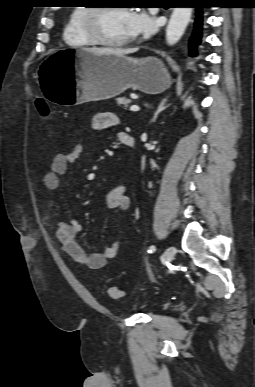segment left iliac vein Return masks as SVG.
Masks as SVG:
<instances>
[{"instance_id":"obj_1","label":"left iliac vein","mask_w":255,"mask_h":387,"mask_svg":"<svg viewBox=\"0 0 255 387\" xmlns=\"http://www.w3.org/2000/svg\"><path fill=\"white\" fill-rule=\"evenodd\" d=\"M175 253H176L175 247L173 246L168 247L163 253V256H162L163 261L165 263L171 262L174 258Z\"/></svg>"}]
</instances>
